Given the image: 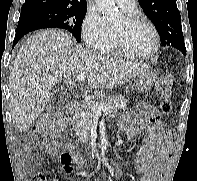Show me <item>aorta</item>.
<instances>
[{"label":"aorta","instance_id":"1","mask_svg":"<svg viewBox=\"0 0 197 181\" xmlns=\"http://www.w3.org/2000/svg\"><path fill=\"white\" fill-rule=\"evenodd\" d=\"M95 3L108 23L118 24L123 20V15L116 7L115 0H95Z\"/></svg>","mask_w":197,"mask_h":181}]
</instances>
